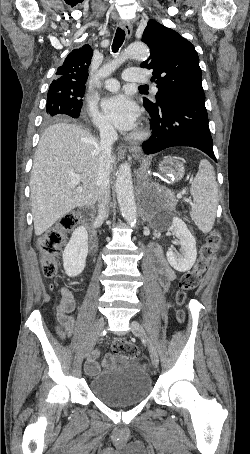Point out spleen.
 Instances as JSON below:
<instances>
[{
	"label": "spleen",
	"mask_w": 250,
	"mask_h": 454,
	"mask_svg": "<svg viewBox=\"0 0 250 454\" xmlns=\"http://www.w3.org/2000/svg\"><path fill=\"white\" fill-rule=\"evenodd\" d=\"M190 193L194 204L190 216L204 233L211 231L218 205V185L212 165L206 159L200 161L199 171L194 178Z\"/></svg>",
	"instance_id": "spleen-1"
}]
</instances>
